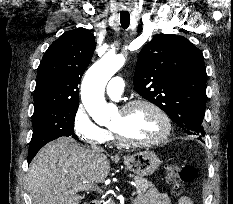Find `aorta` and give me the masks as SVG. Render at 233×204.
I'll list each match as a JSON object with an SVG mask.
<instances>
[{
	"mask_svg": "<svg viewBox=\"0 0 233 204\" xmlns=\"http://www.w3.org/2000/svg\"><path fill=\"white\" fill-rule=\"evenodd\" d=\"M125 63L122 55H104L86 72L81 85L82 103L99 125H106L116 114L117 107L107 103L104 89L109 79L119 71Z\"/></svg>",
	"mask_w": 233,
	"mask_h": 204,
	"instance_id": "obj_1",
	"label": "aorta"
}]
</instances>
